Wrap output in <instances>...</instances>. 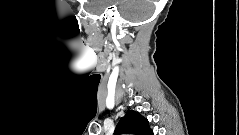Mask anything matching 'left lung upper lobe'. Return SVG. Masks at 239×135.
I'll use <instances>...</instances> for the list:
<instances>
[{
    "mask_svg": "<svg viewBox=\"0 0 239 135\" xmlns=\"http://www.w3.org/2000/svg\"><path fill=\"white\" fill-rule=\"evenodd\" d=\"M115 134L153 135V132L146 118L130 110L120 119Z\"/></svg>",
    "mask_w": 239,
    "mask_h": 135,
    "instance_id": "5c2ea615",
    "label": "left lung upper lobe"
}]
</instances>
